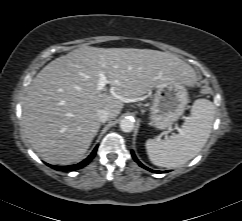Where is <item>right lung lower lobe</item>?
Wrapping results in <instances>:
<instances>
[{
    "label": "right lung lower lobe",
    "instance_id": "98d812e1",
    "mask_svg": "<svg viewBox=\"0 0 242 221\" xmlns=\"http://www.w3.org/2000/svg\"><path fill=\"white\" fill-rule=\"evenodd\" d=\"M98 146L95 147V149L92 151V153L88 156V158H86L85 160H83L82 162L75 164V165H70V166H54V165H49L50 167L59 170V171H74L77 169H81L82 167L86 166L95 156L96 151H97Z\"/></svg>",
    "mask_w": 242,
    "mask_h": 221
}]
</instances>
